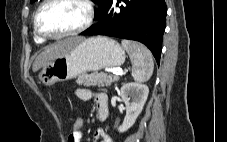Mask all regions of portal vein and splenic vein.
Instances as JSON below:
<instances>
[{"mask_svg": "<svg viewBox=\"0 0 227 142\" xmlns=\"http://www.w3.org/2000/svg\"><path fill=\"white\" fill-rule=\"evenodd\" d=\"M123 71L122 70H114L113 71V74L115 75V76H121V75H123Z\"/></svg>", "mask_w": 227, "mask_h": 142, "instance_id": "obj_1", "label": "portal vein and splenic vein"}]
</instances>
